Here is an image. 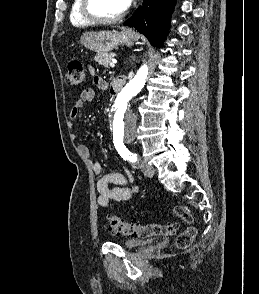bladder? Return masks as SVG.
Here are the masks:
<instances>
[{
  "label": "bladder",
  "mask_w": 259,
  "mask_h": 294,
  "mask_svg": "<svg viewBox=\"0 0 259 294\" xmlns=\"http://www.w3.org/2000/svg\"><path fill=\"white\" fill-rule=\"evenodd\" d=\"M151 242L149 239H128L122 242V247L128 250L139 248Z\"/></svg>",
  "instance_id": "1"
}]
</instances>
